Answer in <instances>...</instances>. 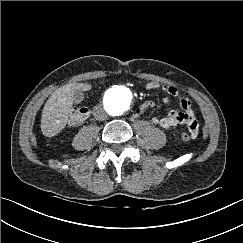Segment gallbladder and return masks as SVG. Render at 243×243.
Listing matches in <instances>:
<instances>
[{
    "mask_svg": "<svg viewBox=\"0 0 243 243\" xmlns=\"http://www.w3.org/2000/svg\"><path fill=\"white\" fill-rule=\"evenodd\" d=\"M83 99V94L80 91L75 92L73 95V102L74 103H80Z\"/></svg>",
    "mask_w": 243,
    "mask_h": 243,
    "instance_id": "bac80fb5",
    "label": "gallbladder"
}]
</instances>
